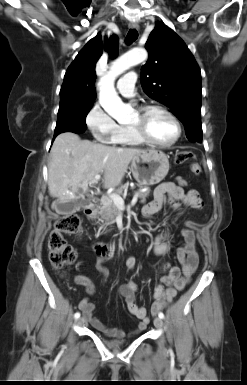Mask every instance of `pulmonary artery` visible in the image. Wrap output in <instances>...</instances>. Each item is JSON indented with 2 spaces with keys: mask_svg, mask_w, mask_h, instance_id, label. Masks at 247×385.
<instances>
[{
  "mask_svg": "<svg viewBox=\"0 0 247 385\" xmlns=\"http://www.w3.org/2000/svg\"><path fill=\"white\" fill-rule=\"evenodd\" d=\"M137 74L135 72H128L121 77L117 83L119 93L125 98H132L135 96V81Z\"/></svg>",
  "mask_w": 247,
  "mask_h": 385,
  "instance_id": "1",
  "label": "pulmonary artery"
}]
</instances>
